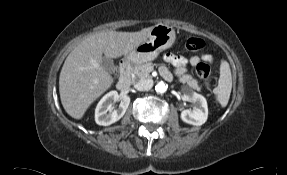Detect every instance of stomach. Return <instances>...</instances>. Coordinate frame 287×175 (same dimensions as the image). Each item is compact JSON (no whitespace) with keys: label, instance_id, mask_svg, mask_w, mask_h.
Masks as SVG:
<instances>
[{"label":"stomach","instance_id":"stomach-1","mask_svg":"<svg viewBox=\"0 0 287 175\" xmlns=\"http://www.w3.org/2000/svg\"><path fill=\"white\" fill-rule=\"evenodd\" d=\"M175 39L176 33L172 27L165 24H157L153 26L147 40L131 50L125 56V59L132 64L151 61L161 51L170 48L174 44Z\"/></svg>","mask_w":287,"mask_h":175}]
</instances>
